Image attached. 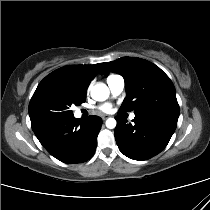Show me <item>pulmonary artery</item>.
<instances>
[{"label": "pulmonary artery", "instance_id": "pulmonary-artery-1", "mask_svg": "<svg viewBox=\"0 0 210 210\" xmlns=\"http://www.w3.org/2000/svg\"><path fill=\"white\" fill-rule=\"evenodd\" d=\"M107 84L111 93L115 96L119 95L124 90L125 87L124 79L119 75L109 76L107 78ZM134 118L135 114H131L130 119L133 120Z\"/></svg>", "mask_w": 210, "mask_h": 210}]
</instances>
